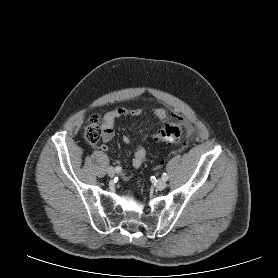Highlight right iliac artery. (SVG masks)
<instances>
[{"label":"right iliac artery","mask_w":278,"mask_h":278,"mask_svg":"<svg viewBox=\"0 0 278 278\" xmlns=\"http://www.w3.org/2000/svg\"><path fill=\"white\" fill-rule=\"evenodd\" d=\"M115 170H116L117 172H120V171H121V167L117 166V167L115 168Z\"/></svg>","instance_id":"obj_1"}]
</instances>
